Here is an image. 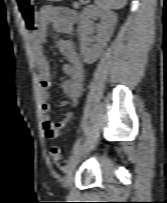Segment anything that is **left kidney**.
<instances>
[{"mask_svg":"<svg viewBox=\"0 0 167 203\" xmlns=\"http://www.w3.org/2000/svg\"><path fill=\"white\" fill-rule=\"evenodd\" d=\"M97 18L101 19V23L97 25L99 34L96 38V44L89 47L92 42L89 35L95 28L92 20ZM116 22V14L112 11L94 5H89L84 9L78 33L80 37V51L85 63L92 64L100 57L112 35Z\"/></svg>","mask_w":167,"mask_h":203,"instance_id":"left-kidney-1","label":"left kidney"}]
</instances>
